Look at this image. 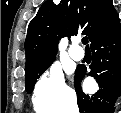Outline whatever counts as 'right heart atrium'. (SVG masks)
Returning <instances> with one entry per match:
<instances>
[{
    "instance_id": "right-heart-atrium-1",
    "label": "right heart atrium",
    "mask_w": 121,
    "mask_h": 113,
    "mask_svg": "<svg viewBox=\"0 0 121 113\" xmlns=\"http://www.w3.org/2000/svg\"><path fill=\"white\" fill-rule=\"evenodd\" d=\"M34 103L37 108L49 113L74 109V93L59 69L51 67L42 74L35 85Z\"/></svg>"
}]
</instances>
